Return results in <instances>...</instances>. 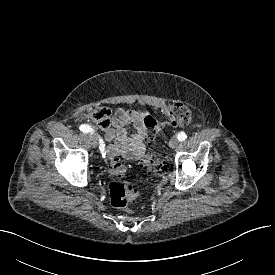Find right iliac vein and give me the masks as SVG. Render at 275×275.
Wrapping results in <instances>:
<instances>
[{"mask_svg":"<svg viewBox=\"0 0 275 275\" xmlns=\"http://www.w3.org/2000/svg\"><path fill=\"white\" fill-rule=\"evenodd\" d=\"M89 138H90L92 147L96 148L97 147V137L93 133H91L89 135Z\"/></svg>","mask_w":275,"mask_h":275,"instance_id":"63e3f726","label":"right iliac vein"}]
</instances>
